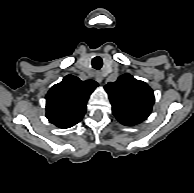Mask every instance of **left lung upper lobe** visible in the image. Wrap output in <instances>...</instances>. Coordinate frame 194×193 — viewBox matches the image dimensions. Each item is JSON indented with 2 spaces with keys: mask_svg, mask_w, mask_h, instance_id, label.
<instances>
[{
  "mask_svg": "<svg viewBox=\"0 0 194 193\" xmlns=\"http://www.w3.org/2000/svg\"><path fill=\"white\" fill-rule=\"evenodd\" d=\"M105 90L112 104V113L123 125L139 124L150 115L155 98L145 82L124 74L117 81L108 83Z\"/></svg>",
  "mask_w": 194,
  "mask_h": 193,
  "instance_id": "left-lung-upper-lobe-1",
  "label": "left lung upper lobe"
}]
</instances>
